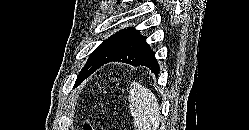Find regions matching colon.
Returning <instances> with one entry per match:
<instances>
[{"mask_svg":"<svg viewBox=\"0 0 249 130\" xmlns=\"http://www.w3.org/2000/svg\"><path fill=\"white\" fill-rule=\"evenodd\" d=\"M83 130H95L93 123L89 119L84 123Z\"/></svg>","mask_w":249,"mask_h":130,"instance_id":"obj_1","label":"colon"}]
</instances>
